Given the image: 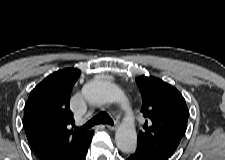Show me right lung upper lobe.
Instances as JSON below:
<instances>
[{
	"mask_svg": "<svg viewBox=\"0 0 225 160\" xmlns=\"http://www.w3.org/2000/svg\"><path fill=\"white\" fill-rule=\"evenodd\" d=\"M80 70L66 68L47 76L30 93L25 104L24 127L27 139L39 157H70L78 153L93 131L73 129L70 110L72 88Z\"/></svg>",
	"mask_w": 225,
	"mask_h": 160,
	"instance_id": "cb5924a9",
	"label": "right lung upper lobe"
}]
</instances>
